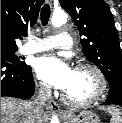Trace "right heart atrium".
<instances>
[{
  "mask_svg": "<svg viewBox=\"0 0 122 123\" xmlns=\"http://www.w3.org/2000/svg\"><path fill=\"white\" fill-rule=\"evenodd\" d=\"M40 88L43 93H46L48 91V88L44 84H41Z\"/></svg>",
  "mask_w": 122,
  "mask_h": 123,
  "instance_id": "right-heart-atrium-1",
  "label": "right heart atrium"
}]
</instances>
